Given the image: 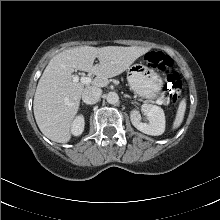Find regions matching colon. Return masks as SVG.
I'll list each match as a JSON object with an SVG mask.
<instances>
[{"label":"colon","instance_id":"obj_1","mask_svg":"<svg viewBox=\"0 0 220 220\" xmlns=\"http://www.w3.org/2000/svg\"><path fill=\"white\" fill-rule=\"evenodd\" d=\"M144 59L149 67L166 72V85L170 97L177 103L183 93V84L179 73L173 68L172 58L160 51H150Z\"/></svg>","mask_w":220,"mask_h":220}]
</instances>
